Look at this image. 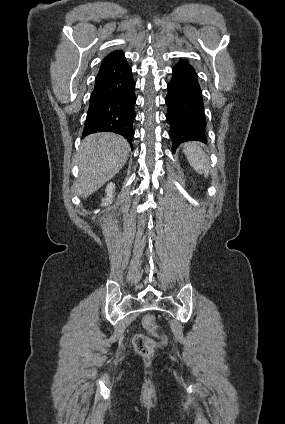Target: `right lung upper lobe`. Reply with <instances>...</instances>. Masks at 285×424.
<instances>
[{"label": "right lung upper lobe", "instance_id": "cb5924a9", "mask_svg": "<svg viewBox=\"0 0 285 424\" xmlns=\"http://www.w3.org/2000/svg\"><path fill=\"white\" fill-rule=\"evenodd\" d=\"M124 57V54L122 51H114L110 54H108L104 60L102 61V64L106 63V62H111V61H115L117 59H121Z\"/></svg>", "mask_w": 285, "mask_h": 424}]
</instances>
